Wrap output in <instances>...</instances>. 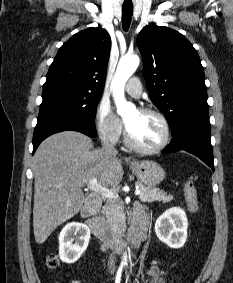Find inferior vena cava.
<instances>
[{"instance_id": "1", "label": "inferior vena cava", "mask_w": 233, "mask_h": 283, "mask_svg": "<svg viewBox=\"0 0 233 283\" xmlns=\"http://www.w3.org/2000/svg\"><path fill=\"white\" fill-rule=\"evenodd\" d=\"M103 148L111 154H117V149L114 147V145H109L106 142H103ZM108 266L109 268H115V253L110 254Z\"/></svg>"}]
</instances>
